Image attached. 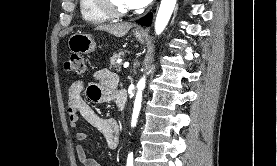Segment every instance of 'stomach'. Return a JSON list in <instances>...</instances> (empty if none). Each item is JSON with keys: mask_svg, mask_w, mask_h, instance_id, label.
<instances>
[{"mask_svg": "<svg viewBox=\"0 0 277 166\" xmlns=\"http://www.w3.org/2000/svg\"><path fill=\"white\" fill-rule=\"evenodd\" d=\"M136 39L140 42H144L145 35L135 31L134 33ZM68 46L71 52L76 54H88L94 51L95 49V41L92 35L76 32L68 40Z\"/></svg>", "mask_w": 277, "mask_h": 166, "instance_id": "obj_1", "label": "stomach"}]
</instances>
